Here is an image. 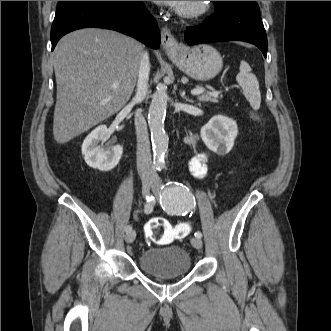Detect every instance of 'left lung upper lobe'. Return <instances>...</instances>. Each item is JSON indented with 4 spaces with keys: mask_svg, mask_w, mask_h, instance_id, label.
<instances>
[{
    "mask_svg": "<svg viewBox=\"0 0 331 331\" xmlns=\"http://www.w3.org/2000/svg\"><path fill=\"white\" fill-rule=\"evenodd\" d=\"M216 10H219L225 6L232 4H251L255 3V1H213Z\"/></svg>",
    "mask_w": 331,
    "mask_h": 331,
    "instance_id": "left-lung-upper-lobe-1",
    "label": "left lung upper lobe"
}]
</instances>
